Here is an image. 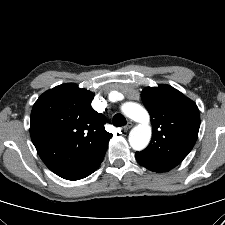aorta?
<instances>
[{
    "mask_svg": "<svg viewBox=\"0 0 225 225\" xmlns=\"http://www.w3.org/2000/svg\"><path fill=\"white\" fill-rule=\"evenodd\" d=\"M122 112L139 123L130 131L129 143L134 150H143L149 144L152 134L148 112L141 105L133 102L125 103L122 106Z\"/></svg>",
    "mask_w": 225,
    "mask_h": 225,
    "instance_id": "762f6f07",
    "label": "aorta"
}]
</instances>
